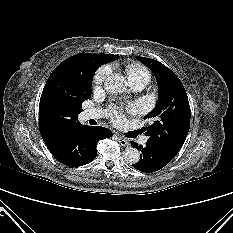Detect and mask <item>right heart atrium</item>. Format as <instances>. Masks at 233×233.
<instances>
[{
  "mask_svg": "<svg viewBox=\"0 0 233 233\" xmlns=\"http://www.w3.org/2000/svg\"><path fill=\"white\" fill-rule=\"evenodd\" d=\"M110 73H111L110 65L101 66L94 75V83L97 86L102 85Z\"/></svg>",
  "mask_w": 233,
  "mask_h": 233,
  "instance_id": "d8ad5b80",
  "label": "right heart atrium"
}]
</instances>
